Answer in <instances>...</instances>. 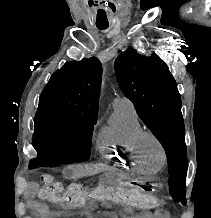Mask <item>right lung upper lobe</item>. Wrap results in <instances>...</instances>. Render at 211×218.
<instances>
[{"label":"right lung upper lobe","mask_w":211,"mask_h":218,"mask_svg":"<svg viewBox=\"0 0 211 218\" xmlns=\"http://www.w3.org/2000/svg\"><path fill=\"white\" fill-rule=\"evenodd\" d=\"M101 76L96 57L67 62L51 76L38 110L97 116Z\"/></svg>","instance_id":"right-lung-upper-lobe-1"}]
</instances>
